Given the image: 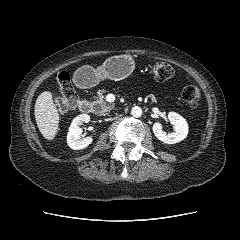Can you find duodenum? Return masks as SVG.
<instances>
[{
  "label": "duodenum",
  "instance_id": "410a0bca",
  "mask_svg": "<svg viewBox=\"0 0 240 240\" xmlns=\"http://www.w3.org/2000/svg\"><path fill=\"white\" fill-rule=\"evenodd\" d=\"M79 109L83 113H90L92 110V105L88 99H82L79 102Z\"/></svg>",
  "mask_w": 240,
  "mask_h": 240
}]
</instances>
